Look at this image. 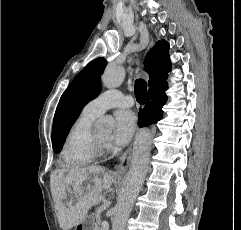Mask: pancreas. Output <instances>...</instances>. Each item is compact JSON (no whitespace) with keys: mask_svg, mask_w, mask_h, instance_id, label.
Segmentation results:
<instances>
[{"mask_svg":"<svg viewBox=\"0 0 241 230\" xmlns=\"http://www.w3.org/2000/svg\"><path fill=\"white\" fill-rule=\"evenodd\" d=\"M94 230H103L101 223H95Z\"/></svg>","mask_w":241,"mask_h":230,"instance_id":"obj_1","label":"pancreas"}]
</instances>
